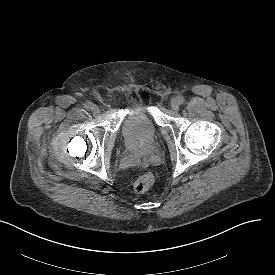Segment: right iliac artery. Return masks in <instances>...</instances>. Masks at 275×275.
Instances as JSON below:
<instances>
[{"label":"right iliac artery","instance_id":"right-iliac-artery-1","mask_svg":"<svg viewBox=\"0 0 275 275\" xmlns=\"http://www.w3.org/2000/svg\"><path fill=\"white\" fill-rule=\"evenodd\" d=\"M92 103L91 102H87V103H85V109H87V110H91L92 109Z\"/></svg>","mask_w":275,"mask_h":275}]
</instances>
